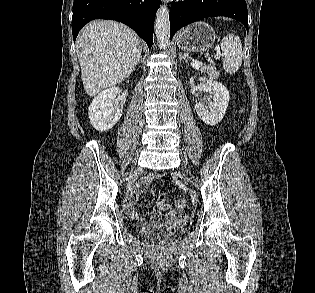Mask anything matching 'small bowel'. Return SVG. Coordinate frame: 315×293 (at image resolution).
I'll list each match as a JSON object with an SVG mask.
<instances>
[{"label":"small bowel","mask_w":315,"mask_h":293,"mask_svg":"<svg viewBox=\"0 0 315 293\" xmlns=\"http://www.w3.org/2000/svg\"><path fill=\"white\" fill-rule=\"evenodd\" d=\"M160 175L158 173H154L147 177L144 181H142L133 191V193L126 199L124 203V209L126 213L134 219L139 220L140 216L135 210V204L137 202L138 196L155 180H158ZM169 209V205L165 200V196L160 194L157 198L155 208L151 215V220L153 222H158L161 220V215L163 212ZM184 211H173L171 215H169L168 220L176 221L184 218Z\"/></svg>","instance_id":"1"}]
</instances>
